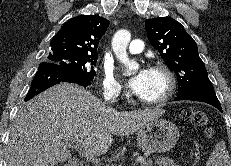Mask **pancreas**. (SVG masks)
<instances>
[{
  "mask_svg": "<svg viewBox=\"0 0 231 166\" xmlns=\"http://www.w3.org/2000/svg\"><path fill=\"white\" fill-rule=\"evenodd\" d=\"M140 166H179L175 163L174 160L166 158V157H158L154 161L147 160L141 163Z\"/></svg>",
  "mask_w": 231,
  "mask_h": 166,
  "instance_id": "obj_1",
  "label": "pancreas"
}]
</instances>
